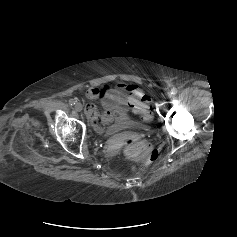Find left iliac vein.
Wrapping results in <instances>:
<instances>
[{
	"mask_svg": "<svg viewBox=\"0 0 237 237\" xmlns=\"http://www.w3.org/2000/svg\"><path fill=\"white\" fill-rule=\"evenodd\" d=\"M166 96L171 97V93L170 92L166 93Z\"/></svg>",
	"mask_w": 237,
	"mask_h": 237,
	"instance_id": "1",
	"label": "left iliac vein"
}]
</instances>
